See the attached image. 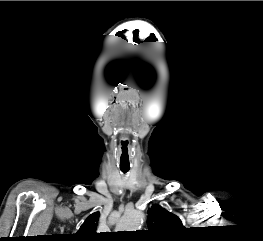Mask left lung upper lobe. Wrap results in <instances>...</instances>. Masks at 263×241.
I'll return each mask as SVG.
<instances>
[{"mask_svg":"<svg viewBox=\"0 0 263 241\" xmlns=\"http://www.w3.org/2000/svg\"><path fill=\"white\" fill-rule=\"evenodd\" d=\"M148 232L163 241H178L185 229L180 218L160 205H152L148 210Z\"/></svg>","mask_w":263,"mask_h":241,"instance_id":"1","label":"left lung upper lobe"}]
</instances>
